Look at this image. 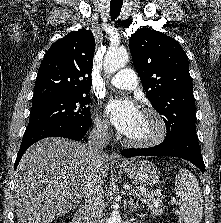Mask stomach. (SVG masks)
Masks as SVG:
<instances>
[{"label":"stomach","mask_w":221,"mask_h":223,"mask_svg":"<svg viewBox=\"0 0 221 223\" xmlns=\"http://www.w3.org/2000/svg\"><path fill=\"white\" fill-rule=\"evenodd\" d=\"M125 172L128 179L137 185L148 186L156 184L160 179L158 168L149 161L143 160L127 165L117 166Z\"/></svg>","instance_id":"stomach-1"}]
</instances>
